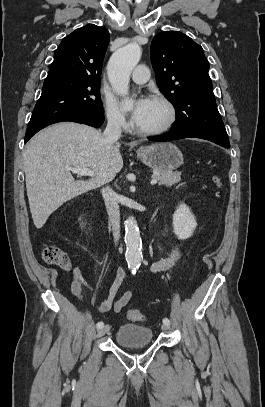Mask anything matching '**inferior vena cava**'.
I'll list each match as a JSON object with an SVG mask.
<instances>
[{
	"instance_id": "602c4592",
	"label": "inferior vena cava",
	"mask_w": 265,
	"mask_h": 407,
	"mask_svg": "<svg viewBox=\"0 0 265 407\" xmlns=\"http://www.w3.org/2000/svg\"><path fill=\"white\" fill-rule=\"evenodd\" d=\"M122 124L123 119L121 116L117 114L108 115V123L103 133V136L108 143H114L120 138ZM107 182L108 181H105L104 183ZM101 192L109 216V221L112 225L114 242L117 243L120 237V210L118 196L109 186L102 188Z\"/></svg>"
}]
</instances>
